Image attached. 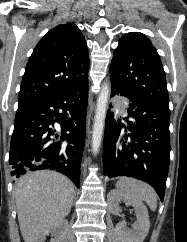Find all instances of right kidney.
Masks as SVG:
<instances>
[{
  "label": "right kidney",
  "mask_w": 187,
  "mask_h": 242,
  "mask_svg": "<svg viewBox=\"0 0 187 242\" xmlns=\"http://www.w3.org/2000/svg\"><path fill=\"white\" fill-rule=\"evenodd\" d=\"M67 227L68 221L62 219L57 224L52 226L50 229L46 230L44 233L38 236L35 242H44L46 235H49V233H51L54 236V238L51 239V242H62Z\"/></svg>",
  "instance_id": "1"
}]
</instances>
